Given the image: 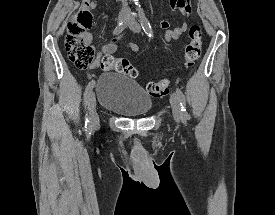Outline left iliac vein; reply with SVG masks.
Returning a JSON list of instances; mask_svg holds the SVG:
<instances>
[{
  "label": "left iliac vein",
  "mask_w": 275,
  "mask_h": 215,
  "mask_svg": "<svg viewBox=\"0 0 275 215\" xmlns=\"http://www.w3.org/2000/svg\"><path fill=\"white\" fill-rule=\"evenodd\" d=\"M126 11H129V8H126ZM124 19L127 21V26L130 30L133 32H140L141 27L134 17H125ZM170 103L172 107L173 118L177 123H179L181 119V107L178 96L175 93L171 94Z\"/></svg>",
  "instance_id": "4c4485c4"
}]
</instances>
